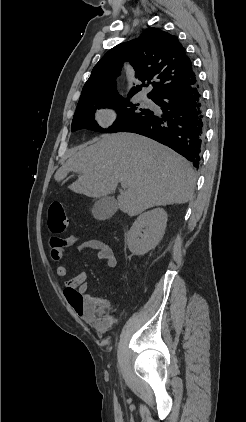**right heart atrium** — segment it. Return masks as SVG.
Returning <instances> with one entry per match:
<instances>
[{
  "label": "right heart atrium",
  "instance_id": "right-heart-atrium-1",
  "mask_svg": "<svg viewBox=\"0 0 246 422\" xmlns=\"http://www.w3.org/2000/svg\"><path fill=\"white\" fill-rule=\"evenodd\" d=\"M95 120L101 127L108 128L116 122L117 112L111 106L100 107L96 111Z\"/></svg>",
  "mask_w": 246,
  "mask_h": 422
}]
</instances>
